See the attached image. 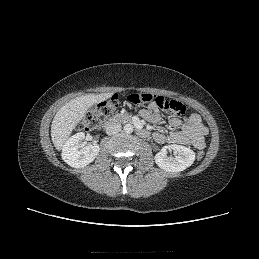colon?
Wrapping results in <instances>:
<instances>
[{"instance_id":"colon-1","label":"colon","mask_w":259,"mask_h":259,"mask_svg":"<svg viewBox=\"0 0 259 259\" xmlns=\"http://www.w3.org/2000/svg\"><path fill=\"white\" fill-rule=\"evenodd\" d=\"M127 100L130 104L135 106L142 104L154 105L157 109L174 114H183L186 110V106L178 100H170L148 93H133L127 97ZM118 106L119 99L117 96H112L108 100L100 103L94 112L85 116L81 122V128L90 130L99 127L114 115ZM196 157L198 160H201L204 157V152L198 151Z\"/></svg>"}]
</instances>
